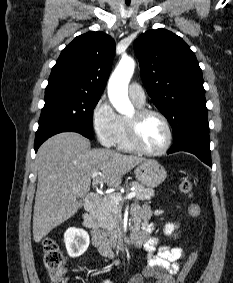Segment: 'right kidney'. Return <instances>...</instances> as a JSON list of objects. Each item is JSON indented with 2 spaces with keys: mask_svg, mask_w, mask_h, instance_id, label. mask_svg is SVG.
I'll return each mask as SVG.
<instances>
[{
  "mask_svg": "<svg viewBox=\"0 0 233 283\" xmlns=\"http://www.w3.org/2000/svg\"><path fill=\"white\" fill-rule=\"evenodd\" d=\"M64 242L70 257H79L89 246V235L83 229L69 228L64 234Z\"/></svg>",
  "mask_w": 233,
  "mask_h": 283,
  "instance_id": "obj_1",
  "label": "right kidney"
}]
</instances>
